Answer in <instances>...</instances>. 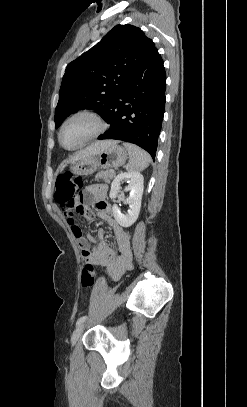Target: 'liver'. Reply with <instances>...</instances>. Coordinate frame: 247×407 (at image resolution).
Instances as JSON below:
<instances>
[{
    "label": "liver",
    "instance_id": "liver-1",
    "mask_svg": "<svg viewBox=\"0 0 247 407\" xmlns=\"http://www.w3.org/2000/svg\"><path fill=\"white\" fill-rule=\"evenodd\" d=\"M116 143L115 141H98L95 142L88 147H86L83 150L78 151L75 153L69 160L68 162H76L81 159H84L86 157H90L92 155H96L100 153L103 149H105L107 146Z\"/></svg>",
    "mask_w": 247,
    "mask_h": 407
}]
</instances>
